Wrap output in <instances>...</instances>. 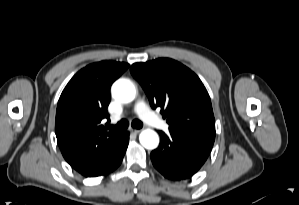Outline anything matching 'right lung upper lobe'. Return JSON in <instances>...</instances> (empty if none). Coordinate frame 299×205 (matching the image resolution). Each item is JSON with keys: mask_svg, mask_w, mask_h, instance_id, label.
Masks as SVG:
<instances>
[{"mask_svg": "<svg viewBox=\"0 0 299 205\" xmlns=\"http://www.w3.org/2000/svg\"><path fill=\"white\" fill-rule=\"evenodd\" d=\"M129 67L127 63L101 61L81 69L63 90L57 105L55 133L65 160L84 174L115 148L121 133L107 132V107L112 83Z\"/></svg>", "mask_w": 299, "mask_h": 205, "instance_id": "obj_1", "label": "right lung upper lobe"}]
</instances>
